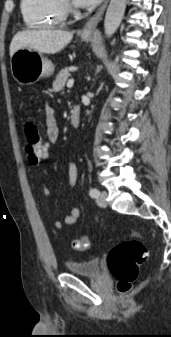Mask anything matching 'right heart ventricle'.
Segmentation results:
<instances>
[{"instance_id":"1","label":"right heart ventricle","mask_w":171,"mask_h":337,"mask_svg":"<svg viewBox=\"0 0 171 337\" xmlns=\"http://www.w3.org/2000/svg\"><path fill=\"white\" fill-rule=\"evenodd\" d=\"M20 8L23 20L30 28L57 27L66 16L60 0H21Z\"/></svg>"}]
</instances>
